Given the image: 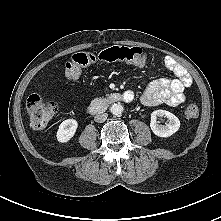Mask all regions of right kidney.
Instances as JSON below:
<instances>
[{"label":"right kidney","mask_w":221,"mask_h":221,"mask_svg":"<svg viewBox=\"0 0 221 221\" xmlns=\"http://www.w3.org/2000/svg\"><path fill=\"white\" fill-rule=\"evenodd\" d=\"M78 127V123L75 119H67L63 121L57 131L56 137L58 142L66 143L68 142L75 134Z\"/></svg>","instance_id":"ca27d5eb"}]
</instances>
